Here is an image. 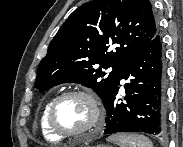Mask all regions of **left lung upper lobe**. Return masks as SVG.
<instances>
[{
    "label": "left lung upper lobe",
    "mask_w": 183,
    "mask_h": 147,
    "mask_svg": "<svg viewBox=\"0 0 183 147\" xmlns=\"http://www.w3.org/2000/svg\"><path fill=\"white\" fill-rule=\"evenodd\" d=\"M157 30L149 0L85 3L50 42L34 87L44 91L61 83H79L94 89L105 104L126 61Z\"/></svg>",
    "instance_id": "1"
}]
</instances>
